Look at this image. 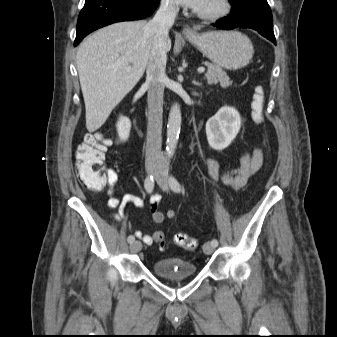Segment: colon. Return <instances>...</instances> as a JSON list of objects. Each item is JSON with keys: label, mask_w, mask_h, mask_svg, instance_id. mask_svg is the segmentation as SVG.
I'll list each match as a JSON object with an SVG mask.
<instances>
[{"label": "colon", "mask_w": 337, "mask_h": 337, "mask_svg": "<svg viewBox=\"0 0 337 337\" xmlns=\"http://www.w3.org/2000/svg\"><path fill=\"white\" fill-rule=\"evenodd\" d=\"M264 89L261 85L254 88L252 98V116L256 123L263 121ZM111 141L102 134H86L76 150V168L80 180L92 190H101L107 185V173L103 168L105 152ZM155 241L161 248L167 246L165 234L162 231L154 233ZM174 244L186 250L193 251L198 247L196 238L185 233H177Z\"/></svg>", "instance_id": "colon-1"}]
</instances>
